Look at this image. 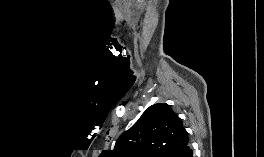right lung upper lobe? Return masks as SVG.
<instances>
[{
    "instance_id": "right-lung-upper-lobe-1",
    "label": "right lung upper lobe",
    "mask_w": 264,
    "mask_h": 157,
    "mask_svg": "<svg viewBox=\"0 0 264 157\" xmlns=\"http://www.w3.org/2000/svg\"><path fill=\"white\" fill-rule=\"evenodd\" d=\"M189 142L182 120L166 103L148 107L121 134L109 157H175Z\"/></svg>"
}]
</instances>
